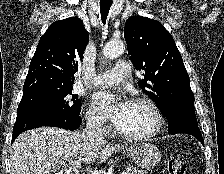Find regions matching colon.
I'll return each mask as SVG.
<instances>
[{
	"label": "colon",
	"mask_w": 224,
	"mask_h": 174,
	"mask_svg": "<svg viewBox=\"0 0 224 174\" xmlns=\"http://www.w3.org/2000/svg\"><path fill=\"white\" fill-rule=\"evenodd\" d=\"M167 170L169 174H186V165L178 157H171L167 161Z\"/></svg>",
	"instance_id": "obj_1"
}]
</instances>
